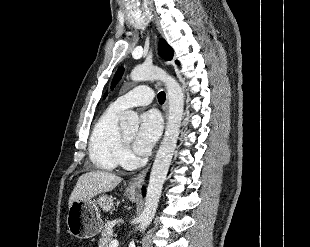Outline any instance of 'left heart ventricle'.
<instances>
[{"mask_svg":"<svg viewBox=\"0 0 310 247\" xmlns=\"http://www.w3.org/2000/svg\"><path fill=\"white\" fill-rule=\"evenodd\" d=\"M134 132H127V133H124V136L130 141L133 139L134 137Z\"/></svg>","mask_w":310,"mask_h":247,"instance_id":"left-heart-ventricle-1","label":"left heart ventricle"}]
</instances>
